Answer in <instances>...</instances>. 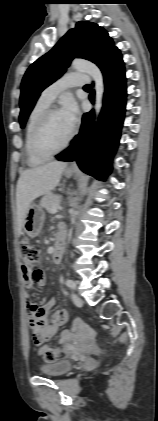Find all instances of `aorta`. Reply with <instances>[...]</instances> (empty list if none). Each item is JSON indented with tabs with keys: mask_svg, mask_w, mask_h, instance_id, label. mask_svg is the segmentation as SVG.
Returning <instances> with one entry per match:
<instances>
[{
	"mask_svg": "<svg viewBox=\"0 0 158 421\" xmlns=\"http://www.w3.org/2000/svg\"><path fill=\"white\" fill-rule=\"evenodd\" d=\"M71 67L87 73L92 80L94 81L95 89V121H97L99 113L103 105V95H104V80L103 75L98 66L90 61L84 59H74L71 63Z\"/></svg>",
	"mask_w": 158,
	"mask_h": 421,
	"instance_id": "762f6f07",
	"label": "aorta"
}]
</instances>
